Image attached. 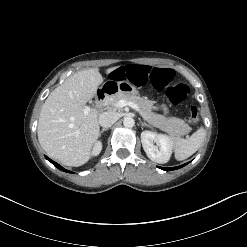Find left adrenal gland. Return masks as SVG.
Masks as SVG:
<instances>
[{"mask_svg": "<svg viewBox=\"0 0 247 247\" xmlns=\"http://www.w3.org/2000/svg\"><path fill=\"white\" fill-rule=\"evenodd\" d=\"M141 126H147L149 128H152L151 125L147 124L146 122H142V121H141Z\"/></svg>", "mask_w": 247, "mask_h": 247, "instance_id": "left-adrenal-gland-1", "label": "left adrenal gland"}]
</instances>
